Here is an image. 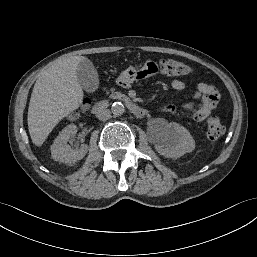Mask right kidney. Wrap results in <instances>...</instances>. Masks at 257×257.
Masks as SVG:
<instances>
[{"mask_svg": "<svg viewBox=\"0 0 257 257\" xmlns=\"http://www.w3.org/2000/svg\"><path fill=\"white\" fill-rule=\"evenodd\" d=\"M77 133V126L70 124L66 126L54 140V143L51 146L52 158L55 161L62 163H75L87 154L88 146L82 144L80 148L72 149L70 145L67 144L69 138L74 136Z\"/></svg>", "mask_w": 257, "mask_h": 257, "instance_id": "right-kidney-1", "label": "right kidney"}]
</instances>
